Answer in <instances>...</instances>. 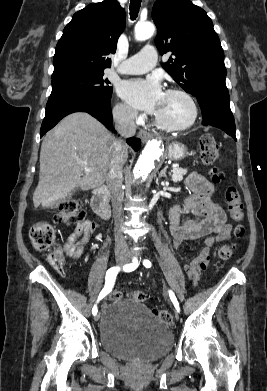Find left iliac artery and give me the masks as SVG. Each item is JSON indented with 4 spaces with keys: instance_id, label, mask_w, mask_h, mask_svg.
<instances>
[{
    "instance_id": "1",
    "label": "left iliac artery",
    "mask_w": 267,
    "mask_h": 391,
    "mask_svg": "<svg viewBox=\"0 0 267 391\" xmlns=\"http://www.w3.org/2000/svg\"><path fill=\"white\" fill-rule=\"evenodd\" d=\"M143 265L146 267V268H150L151 267V262L149 260H144L143 261ZM169 296H170V299L171 301L173 302L176 310L179 312V303L176 299V296L174 295V293L172 291H169Z\"/></svg>"
}]
</instances>
